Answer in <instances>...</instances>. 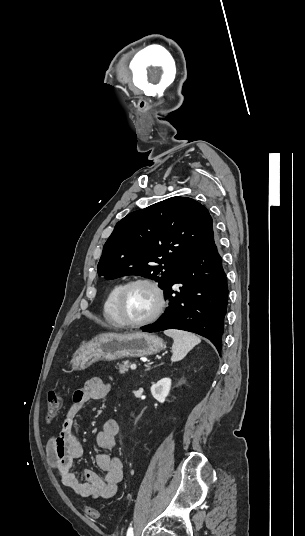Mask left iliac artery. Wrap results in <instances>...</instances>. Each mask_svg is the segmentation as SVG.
Returning a JSON list of instances; mask_svg holds the SVG:
<instances>
[{
  "label": "left iliac artery",
  "instance_id": "obj_1",
  "mask_svg": "<svg viewBox=\"0 0 305 536\" xmlns=\"http://www.w3.org/2000/svg\"><path fill=\"white\" fill-rule=\"evenodd\" d=\"M126 536H134L133 535V528L132 527H129L128 528V531H127V535Z\"/></svg>",
  "mask_w": 305,
  "mask_h": 536
}]
</instances>
